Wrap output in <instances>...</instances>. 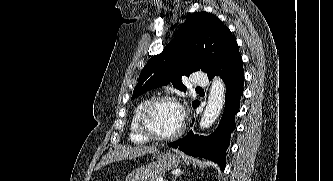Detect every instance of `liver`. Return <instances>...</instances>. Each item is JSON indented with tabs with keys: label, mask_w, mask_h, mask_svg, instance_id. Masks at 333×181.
I'll return each instance as SVG.
<instances>
[{
	"label": "liver",
	"mask_w": 333,
	"mask_h": 181,
	"mask_svg": "<svg viewBox=\"0 0 333 181\" xmlns=\"http://www.w3.org/2000/svg\"><path fill=\"white\" fill-rule=\"evenodd\" d=\"M157 151L156 146H136V147H119L113 152L105 155L100 163L97 165L96 170L101 167L120 160L135 159L144 156L148 153L153 154Z\"/></svg>",
	"instance_id": "obj_1"
}]
</instances>
